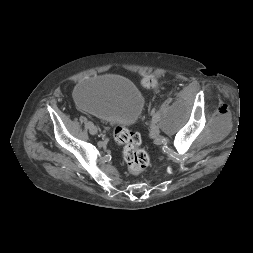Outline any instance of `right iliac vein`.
<instances>
[{
	"label": "right iliac vein",
	"mask_w": 253,
	"mask_h": 253,
	"mask_svg": "<svg viewBox=\"0 0 253 253\" xmlns=\"http://www.w3.org/2000/svg\"><path fill=\"white\" fill-rule=\"evenodd\" d=\"M89 130H90V133L91 134H93V135H95L96 133H97V127L96 126H94V125H91L90 127H89Z\"/></svg>",
	"instance_id": "obj_1"
}]
</instances>
